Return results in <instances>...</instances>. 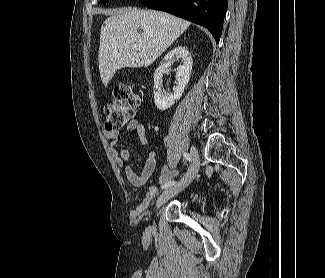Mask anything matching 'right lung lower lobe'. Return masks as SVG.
<instances>
[{
  "mask_svg": "<svg viewBox=\"0 0 325 278\" xmlns=\"http://www.w3.org/2000/svg\"><path fill=\"white\" fill-rule=\"evenodd\" d=\"M148 8L162 10L206 27L220 40L227 0H140Z\"/></svg>",
  "mask_w": 325,
  "mask_h": 278,
  "instance_id": "right-lung-lower-lobe-1",
  "label": "right lung lower lobe"
}]
</instances>
